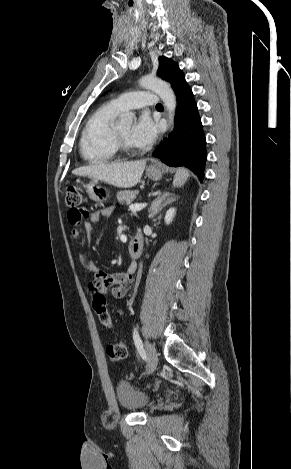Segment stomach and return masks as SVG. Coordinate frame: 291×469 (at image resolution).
<instances>
[{"mask_svg": "<svg viewBox=\"0 0 291 469\" xmlns=\"http://www.w3.org/2000/svg\"><path fill=\"white\" fill-rule=\"evenodd\" d=\"M163 169L159 166H150L146 170L148 178L154 181H158L162 178ZM86 191L89 198L95 202L103 203L110 198V192L107 188L99 184V180L93 179L86 185Z\"/></svg>", "mask_w": 291, "mask_h": 469, "instance_id": "0dacf381", "label": "stomach"}]
</instances>
